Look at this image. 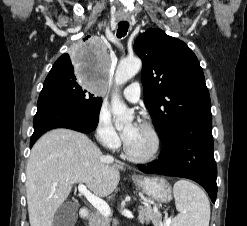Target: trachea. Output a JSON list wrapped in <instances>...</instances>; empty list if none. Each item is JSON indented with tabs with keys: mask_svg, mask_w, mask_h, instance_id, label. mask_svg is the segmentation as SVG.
Instances as JSON below:
<instances>
[{
	"mask_svg": "<svg viewBox=\"0 0 247 226\" xmlns=\"http://www.w3.org/2000/svg\"><path fill=\"white\" fill-rule=\"evenodd\" d=\"M129 28L128 22H120L118 23V29H117V37L122 38L127 34Z\"/></svg>",
	"mask_w": 247,
	"mask_h": 226,
	"instance_id": "1",
	"label": "trachea"
}]
</instances>
